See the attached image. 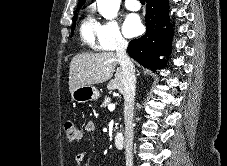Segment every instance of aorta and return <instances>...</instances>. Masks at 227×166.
<instances>
[{"mask_svg":"<svg viewBox=\"0 0 227 166\" xmlns=\"http://www.w3.org/2000/svg\"><path fill=\"white\" fill-rule=\"evenodd\" d=\"M121 0H97L98 11L106 19H114L119 11Z\"/></svg>","mask_w":227,"mask_h":166,"instance_id":"aorta-1","label":"aorta"}]
</instances>
